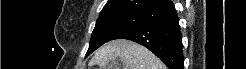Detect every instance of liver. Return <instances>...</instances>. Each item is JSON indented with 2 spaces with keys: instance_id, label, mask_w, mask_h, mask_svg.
Masks as SVG:
<instances>
[{
  "instance_id": "6515ba94",
  "label": "liver",
  "mask_w": 246,
  "mask_h": 69,
  "mask_svg": "<svg viewBox=\"0 0 246 69\" xmlns=\"http://www.w3.org/2000/svg\"><path fill=\"white\" fill-rule=\"evenodd\" d=\"M118 59L123 69H166L147 48L128 40L108 42L96 51L92 63L105 68L108 64H119Z\"/></svg>"
}]
</instances>
